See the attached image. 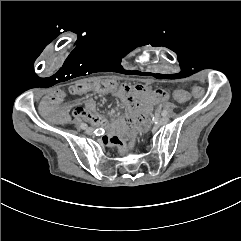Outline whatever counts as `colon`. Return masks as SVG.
I'll use <instances>...</instances> for the list:
<instances>
[{"label":"colon","instance_id":"obj_1","mask_svg":"<svg viewBox=\"0 0 241 241\" xmlns=\"http://www.w3.org/2000/svg\"><path fill=\"white\" fill-rule=\"evenodd\" d=\"M114 91L115 86L112 80L96 79L94 84H89L87 80H84L82 84H74L68 92L73 96L76 93H113ZM191 92L195 97L199 98L203 95L204 90L201 87L196 86L192 88ZM167 93L177 102H187L189 100V95L185 93L183 89H177L174 86L169 87Z\"/></svg>","mask_w":241,"mask_h":241}]
</instances>
